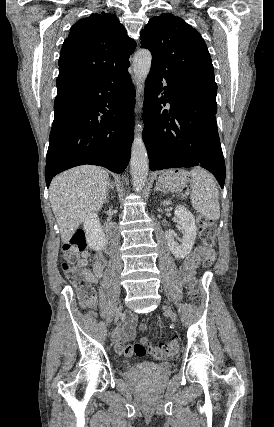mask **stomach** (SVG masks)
<instances>
[{
  "mask_svg": "<svg viewBox=\"0 0 274 427\" xmlns=\"http://www.w3.org/2000/svg\"><path fill=\"white\" fill-rule=\"evenodd\" d=\"M188 182V172L185 170H167L160 172L156 184L163 192H181Z\"/></svg>",
  "mask_w": 274,
  "mask_h": 427,
  "instance_id": "0dacf381",
  "label": "stomach"
}]
</instances>
